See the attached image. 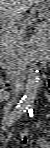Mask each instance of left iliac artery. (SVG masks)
<instances>
[{
  "mask_svg": "<svg viewBox=\"0 0 50 148\" xmlns=\"http://www.w3.org/2000/svg\"><path fill=\"white\" fill-rule=\"evenodd\" d=\"M27 109H28L30 117H33V105L30 104Z\"/></svg>",
  "mask_w": 50,
  "mask_h": 148,
  "instance_id": "1",
  "label": "left iliac artery"
}]
</instances>
